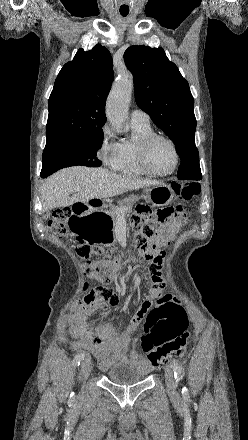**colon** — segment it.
Listing matches in <instances>:
<instances>
[{"label": "colon", "mask_w": 248, "mask_h": 440, "mask_svg": "<svg viewBox=\"0 0 248 440\" xmlns=\"http://www.w3.org/2000/svg\"><path fill=\"white\" fill-rule=\"evenodd\" d=\"M173 189L179 195L182 204L176 208H164L152 213L145 207H138L134 224L138 230L137 243L141 254L146 259L165 256L163 247L168 245L179 229L190 219L189 204L199 195L200 186L196 182H174ZM70 218H79L70 208L54 211L49 226L59 234L69 231ZM154 224H158L155 228ZM77 254L86 259L85 272L102 283H108L115 275L119 262L110 259V252L99 246H77ZM155 272V271H154ZM114 297L112 290L101 288L87 292L81 301L83 308H90L101 299L110 300ZM188 322L182 307L171 301L169 304H156L148 313L144 335L141 338L143 351L152 365L157 366L170 355H181L185 352L188 339Z\"/></svg>", "instance_id": "colon-1"}]
</instances>
